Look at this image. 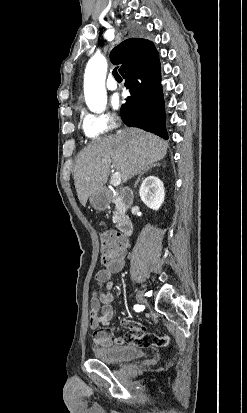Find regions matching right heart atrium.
I'll return each instance as SVG.
<instances>
[{"label": "right heart atrium", "instance_id": "obj_1", "mask_svg": "<svg viewBox=\"0 0 247 413\" xmlns=\"http://www.w3.org/2000/svg\"><path fill=\"white\" fill-rule=\"evenodd\" d=\"M100 108L95 106L93 110L84 112L85 126L88 133H110L115 128L116 118L113 116L95 115Z\"/></svg>", "mask_w": 247, "mask_h": 413}]
</instances>
